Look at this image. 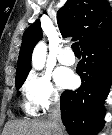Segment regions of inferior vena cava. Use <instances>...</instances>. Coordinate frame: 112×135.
Instances as JSON below:
<instances>
[{
	"mask_svg": "<svg viewBox=\"0 0 112 135\" xmlns=\"http://www.w3.org/2000/svg\"><path fill=\"white\" fill-rule=\"evenodd\" d=\"M48 121L53 130V135H63V125L61 121L60 101L55 98L51 106Z\"/></svg>",
	"mask_w": 112,
	"mask_h": 135,
	"instance_id": "602c4592",
	"label": "inferior vena cava"
}]
</instances>
